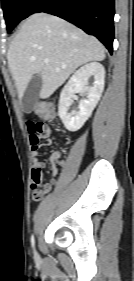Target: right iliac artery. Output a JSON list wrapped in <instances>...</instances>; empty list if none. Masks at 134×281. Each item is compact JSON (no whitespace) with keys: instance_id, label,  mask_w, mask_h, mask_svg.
<instances>
[{"instance_id":"obj_1","label":"right iliac artery","mask_w":134,"mask_h":281,"mask_svg":"<svg viewBox=\"0 0 134 281\" xmlns=\"http://www.w3.org/2000/svg\"><path fill=\"white\" fill-rule=\"evenodd\" d=\"M31 245H32V248L34 249V247H35L34 235H32V237H31Z\"/></svg>"}]
</instances>
